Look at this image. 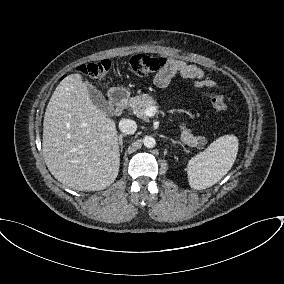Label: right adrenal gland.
Returning a JSON list of instances; mask_svg holds the SVG:
<instances>
[{
    "instance_id": "obj_1",
    "label": "right adrenal gland",
    "mask_w": 284,
    "mask_h": 284,
    "mask_svg": "<svg viewBox=\"0 0 284 284\" xmlns=\"http://www.w3.org/2000/svg\"><path fill=\"white\" fill-rule=\"evenodd\" d=\"M125 136H126L125 134H120L118 136V145L120 147V152L121 153L123 152V148H124V146H123V137H125Z\"/></svg>"
}]
</instances>
